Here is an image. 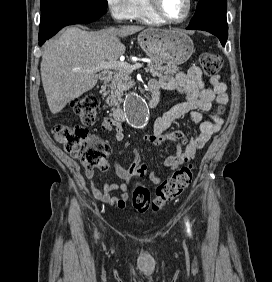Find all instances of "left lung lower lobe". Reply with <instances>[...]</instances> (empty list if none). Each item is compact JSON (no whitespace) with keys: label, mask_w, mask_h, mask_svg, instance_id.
<instances>
[{"label":"left lung lower lobe","mask_w":272,"mask_h":282,"mask_svg":"<svg viewBox=\"0 0 272 282\" xmlns=\"http://www.w3.org/2000/svg\"><path fill=\"white\" fill-rule=\"evenodd\" d=\"M188 30H205L216 35L224 46L228 37L225 0H200Z\"/></svg>","instance_id":"obj_1"}]
</instances>
